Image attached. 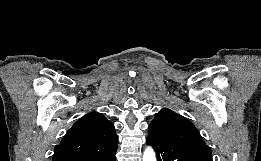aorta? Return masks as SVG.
Returning <instances> with one entry per match:
<instances>
[{"mask_svg":"<svg viewBox=\"0 0 261 161\" xmlns=\"http://www.w3.org/2000/svg\"><path fill=\"white\" fill-rule=\"evenodd\" d=\"M143 161H156V155L151 147H147L143 154Z\"/></svg>","mask_w":261,"mask_h":161,"instance_id":"obj_1","label":"aorta"}]
</instances>
